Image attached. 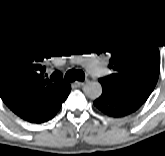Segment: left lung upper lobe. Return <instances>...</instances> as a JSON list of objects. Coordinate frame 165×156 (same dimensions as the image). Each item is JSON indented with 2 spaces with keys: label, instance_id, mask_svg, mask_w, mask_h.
Here are the masks:
<instances>
[{
  "label": "left lung upper lobe",
  "instance_id": "left-lung-upper-lobe-1",
  "mask_svg": "<svg viewBox=\"0 0 165 156\" xmlns=\"http://www.w3.org/2000/svg\"><path fill=\"white\" fill-rule=\"evenodd\" d=\"M93 50L110 57L113 73L101 78L120 94L142 105L150 96L160 72L157 42L129 24L104 23L93 33Z\"/></svg>",
  "mask_w": 165,
  "mask_h": 156
}]
</instances>
